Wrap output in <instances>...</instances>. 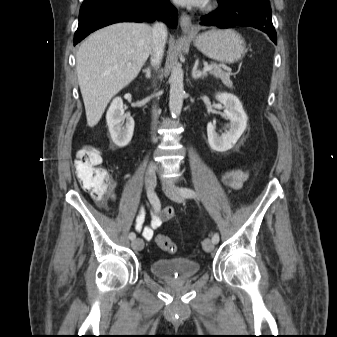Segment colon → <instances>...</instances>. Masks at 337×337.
I'll list each match as a JSON object with an SVG mask.
<instances>
[{"instance_id":"colon-1","label":"colon","mask_w":337,"mask_h":337,"mask_svg":"<svg viewBox=\"0 0 337 337\" xmlns=\"http://www.w3.org/2000/svg\"><path fill=\"white\" fill-rule=\"evenodd\" d=\"M102 161L100 149L93 146L82 147L77 152L75 161V170L81 186L99 201H103L113 187L109 173L100 167ZM156 243L164 251L174 253L177 250L176 244L162 234L156 236Z\"/></svg>"}]
</instances>
